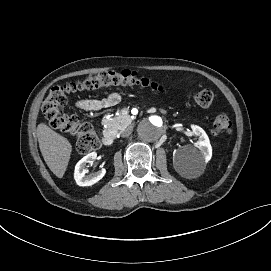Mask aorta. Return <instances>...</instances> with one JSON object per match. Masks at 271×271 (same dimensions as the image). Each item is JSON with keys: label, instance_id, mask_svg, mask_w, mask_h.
Masks as SVG:
<instances>
[{"label": "aorta", "instance_id": "1", "mask_svg": "<svg viewBox=\"0 0 271 271\" xmlns=\"http://www.w3.org/2000/svg\"><path fill=\"white\" fill-rule=\"evenodd\" d=\"M164 129L165 121L159 116H151L138 124L137 133L141 140L152 142L161 137Z\"/></svg>", "mask_w": 271, "mask_h": 271}]
</instances>
